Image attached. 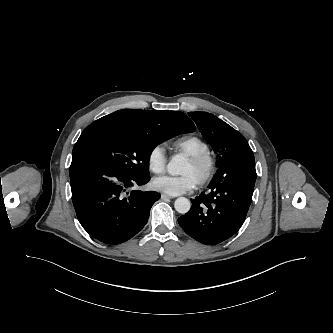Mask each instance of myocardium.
<instances>
[{
	"label": "myocardium",
	"instance_id": "obj_1",
	"mask_svg": "<svg viewBox=\"0 0 333 333\" xmlns=\"http://www.w3.org/2000/svg\"><path fill=\"white\" fill-rule=\"evenodd\" d=\"M188 161L201 170V176L197 181L199 186L206 185L216 172V160L210 153H201L188 156Z\"/></svg>",
	"mask_w": 333,
	"mask_h": 333
}]
</instances>
